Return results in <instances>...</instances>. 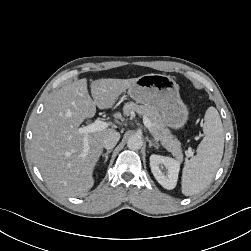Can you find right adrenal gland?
Wrapping results in <instances>:
<instances>
[{
	"mask_svg": "<svg viewBox=\"0 0 251 251\" xmlns=\"http://www.w3.org/2000/svg\"><path fill=\"white\" fill-rule=\"evenodd\" d=\"M112 152V149H110V150H107V152L106 153H103L102 154V157H104L105 159H104V164L107 162V160H108V156H109V154Z\"/></svg>",
	"mask_w": 251,
	"mask_h": 251,
	"instance_id": "2a0ac1e0",
	"label": "right adrenal gland"
}]
</instances>
